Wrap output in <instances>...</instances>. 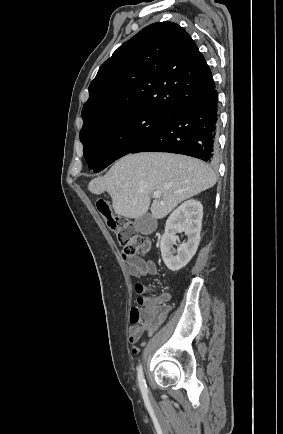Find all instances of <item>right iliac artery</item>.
Listing matches in <instances>:
<instances>
[{"label": "right iliac artery", "instance_id": "82829eb1", "mask_svg": "<svg viewBox=\"0 0 283 434\" xmlns=\"http://www.w3.org/2000/svg\"><path fill=\"white\" fill-rule=\"evenodd\" d=\"M138 382H139V387L141 389L142 394L147 395L148 389H147L146 381L144 379L143 370H142L141 365L138 367Z\"/></svg>", "mask_w": 283, "mask_h": 434}]
</instances>
